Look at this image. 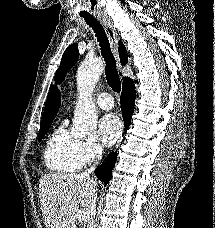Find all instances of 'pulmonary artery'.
Listing matches in <instances>:
<instances>
[{"label":"pulmonary artery","mask_w":215,"mask_h":228,"mask_svg":"<svg viewBox=\"0 0 215 228\" xmlns=\"http://www.w3.org/2000/svg\"><path fill=\"white\" fill-rule=\"evenodd\" d=\"M96 100L99 107L104 110L112 109L114 106V101L112 99V96L108 93L99 94Z\"/></svg>","instance_id":"obj_1"}]
</instances>
